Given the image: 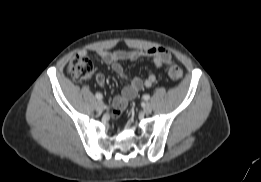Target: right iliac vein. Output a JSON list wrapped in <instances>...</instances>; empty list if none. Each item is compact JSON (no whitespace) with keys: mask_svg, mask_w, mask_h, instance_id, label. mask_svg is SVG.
Masks as SVG:
<instances>
[{"mask_svg":"<svg viewBox=\"0 0 261 182\" xmlns=\"http://www.w3.org/2000/svg\"><path fill=\"white\" fill-rule=\"evenodd\" d=\"M104 103L102 101H98L95 104V109L97 112H102L104 110Z\"/></svg>","mask_w":261,"mask_h":182,"instance_id":"63e3f726","label":"right iliac vein"}]
</instances>
